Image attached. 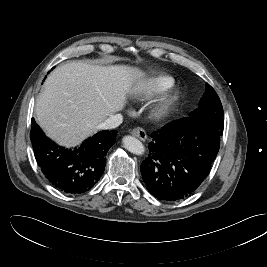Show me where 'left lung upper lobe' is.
<instances>
[{
    "mask_svg": "<svg viewBox=\"0 0 267 267\" xmlns=\"http://www.w3.org/2000/svg\"><path fill=\"white\" fill-rule=\"evenodd\" d=\"M191 118L208 121L218 130H223V108L214 89L206 84V90L199 102V107L189 114Z\"/></svg>",
    "mask_w": 267,
    "mask_h": 267,
    "instance_id": "1",
    "label": "left lung upper lobe"
}]
</instances>
